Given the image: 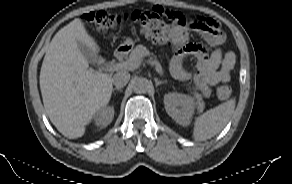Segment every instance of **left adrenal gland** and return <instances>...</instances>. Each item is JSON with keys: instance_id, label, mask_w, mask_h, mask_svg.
I'll return each mask as SVG.
<instances>
[{"instance_id": "a2214340", "label": "left adrenal gland", "mask_w": 292, "mask_h": 184, "mask_svg": "<svg viewBox=\"0 0 292 184\" xmlns=\"http://www.w3.org/2000/svg\"><path fill=\"white\" fill-rule=\"evenodd\" d=\"M155 82H156V86H159V85H161V84H165V83H167V80L160 81V80H158L157 78H155Z\"/></svg>"}]
</instances>
